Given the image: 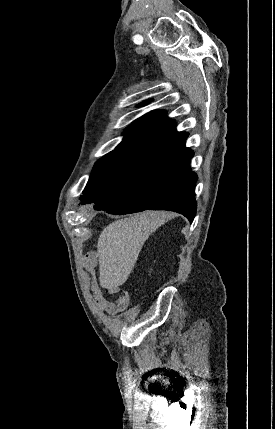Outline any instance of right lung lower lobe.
I'll use <instances>...</instances> for the list:
<instances>
[{
  "label": "right lung lower lobe",
  "instance_id": "right-lung-lower-lobe-1",
  "mask_svg": "<svg viewBox=\"0 0 275 429\" xmlns=\"http://www.w3.org/2000/svg\"><path fill=\"white\" fill-rule=\"evenodd\" d=\"M193 151L182 141L146 161L117 190L94 202V209L114 215L171 210L190 222L196 214L195 182L190 170Z\"/></svg>",
  "mask_w": 275,
  "mask_h": 429
}]
</instances>
